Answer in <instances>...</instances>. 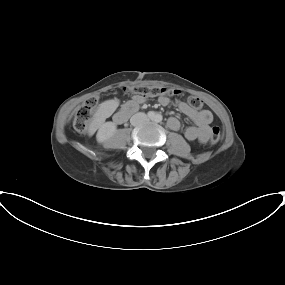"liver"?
I'll use <instances>...</instances> for the list:
<instances>
[{"mask_svg": "<svg viewBox=\"0 0 285 285\" xmlns=\"http://www.w3.org/2000/svg\"><path fill=\"white\" fill-rule=\"evenodd\" d=\"M101 117H102L101 109H99L96 112L95 119H94V121L92 122V124H91V126L89 128V134L90 135H92L95 132L97 124L101 121Z\"/></svg>", "mask_w": 285, "mask_h": 285, "instance_id": "liver-1", "label": "liver"}]
</instances>
